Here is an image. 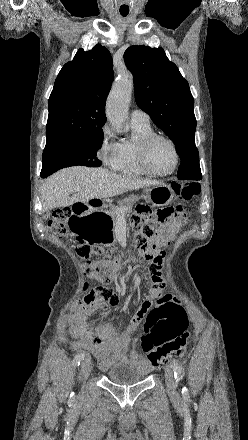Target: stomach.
<instances>
[{
  "label": "stomach",
  "mask_w": 248,
  "mask_h": 440,
  "mask_svg": "<svg viewBox=\"0 0 248 440\" xmlns=\"http://www.w3.org/2000/svg\"><path fill=\"white\" fill-rule=\"evenodd\" d=\"M154 206L168 205L173 199L172 189L164 184L145 188L143 196ZM76 204L75 211L81 218H70L69 230L77 241H83L84 246H115V218H111L110 209H98L100 200Z\"/></svg>",
  "instance_id": "1"
}]
</instances>
